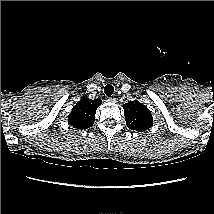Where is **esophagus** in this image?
I'll return each mask as SVG.
<instances>
[{"instance_id":"34e87169","label":"esophagus","mask_w":214,"mask_h":214,"mask_svg":"<svg viewBox=\"0 0 214 214\" xmlns=\"http://www.w3.org/2000/svg\"><path fill=\"white\" fill-rule=\"evenodd\" d=\"M107 101L114 103V102H116V98L115 97H108Z\"/></svg>"}]
</instances>
